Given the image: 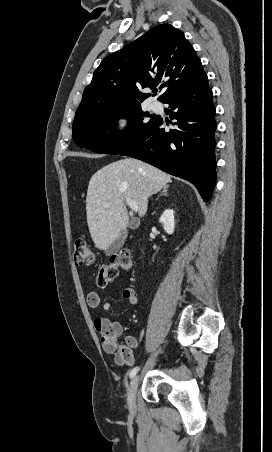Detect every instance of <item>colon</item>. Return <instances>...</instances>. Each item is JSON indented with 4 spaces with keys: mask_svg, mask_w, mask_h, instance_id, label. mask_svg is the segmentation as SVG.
Segmentation results:
<instances>
[{
    "mask_svg": "<svg viewBox=\"0 0 272 452\" xmlns=\"http://www.w3.org/2000/svg\"><path fill=\"white\" fill-rule=\"evenodd\" d=\"M74 262L77 266L92 265L95 262L93 249L84 239L75 241ZM131 268V257L129 252H120L110 257L107 263L100 265L96 281L100 287H106L114 283L121 270ZM118 341L115 343L116 346ZM127 345L120 346L116 355V362L120 365H130L134 361L132 347L134 342L126 341ZM113 347V344H110Z\"/></svg>",
    "mask_w": 272,
    "mask_h": 452,
    "instance_id": "obj_1",
    "label": "colon"
}]
</instances>
